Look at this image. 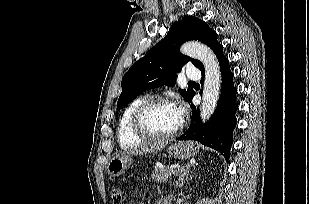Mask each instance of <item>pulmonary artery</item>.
<instances>
[{"label":"pulmonary artery","instance_id":"obj_1","mask_svg":"<svg viewBox=\"0 0 309 204\" xmlns=\"http://www.w3.org/2000/svg\"><path fill=\"white\" fill-rule=\"evenodd\" d=\"M201 72L198 69H189L186 71V78L189 80H199Z\"/></svg>","mask_w":309,"mask_h":204}]
</instances>
